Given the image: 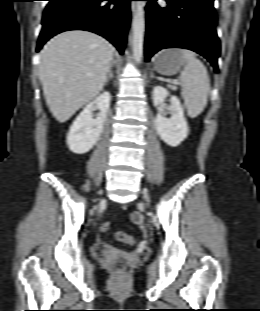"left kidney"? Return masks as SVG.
I'll return each mask as SVG.
<instances>
[{
	"label": "left kidney",
	"mask_w": 260,
	"mask_h": 311,
	"mask_svg": "<svg viewBox=\"0 0 260 311\" xmlns=\"http://www.w3.org/2000/svg\"><path fill=\"white\" fill-rule=\"evenodd\" d=\"M169 95V92L165 88L156 86L152 92L154 106L158 107ZM168 109L172 114L171 118H165L162 115V111H159L154 124L160 138L166 144L176 147L187 138L189 128L184 117L183 107L176 96H171Z\"/></svg>",
	"instance_id": "obj_1"
}]
</instances>
